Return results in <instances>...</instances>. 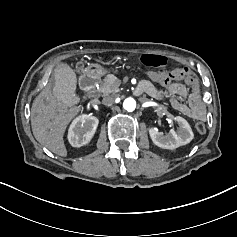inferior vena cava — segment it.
I'll return each mask as SVG.
<instances>
[{"mask_svg":"<svg viewBox=\"0 0 237 237\" xmlns=\"http://www.w3.org/2000/svg\"><path fill=\"white\" fill-rule=\"evenodd\" d=\"M116 98H117L116 95H106L103 98L102 103L104 105H112L116 101Z\"/></svg>","mask_w":237,"mask_h":237,"instance_id":"602c4592","label":"inferior vena cava"}]
</instances>
